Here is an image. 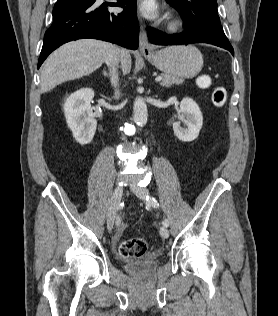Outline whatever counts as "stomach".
I'll list each match as a JSON object with an SVG mask.
<instances>
[{"instance_id": "obj_1", "label": "stomach", "mask_w": 278, "mask_h": 316, "mask_svg": "<svg viewBox=\"0 0 278 316\" xmlns=\"http://www.w3.org/2000/svg\"><path fill=\"white\" fill-rule=\"evenodd\" d=\"M145 57L163 73L186 79L195 77L203 67L202 54L194 46H171Z\"/></svg>"}]
</instances>
